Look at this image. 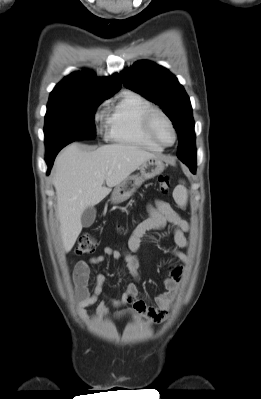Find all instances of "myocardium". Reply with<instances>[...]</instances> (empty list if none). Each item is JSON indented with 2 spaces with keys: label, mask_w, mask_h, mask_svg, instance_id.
Listing matches in <instances>:
<instances>
[{
  "label": "myocardium",
  "mask_w": 261,
  "mask_h": 399,
  "mask_svg": "<svg viewBox=\"0 0 261 399\" xmlns=\"http://www.w3.org/2000/svg\"><path fill=\"white\" fill-rule=\"evenodd\" d=\"M156 115L162 116L169 124V126L172 129L173 132V142L171 144H164L155 134L154 129H153V120ZM143 128L147 136L158 146L161 148H169L172 147L178 138L177 130L176 127L172 121V119L161 109L152 107L150 108L143 117Z\"/></svg>",
  "instance_id": "1"
}]
</instances>
